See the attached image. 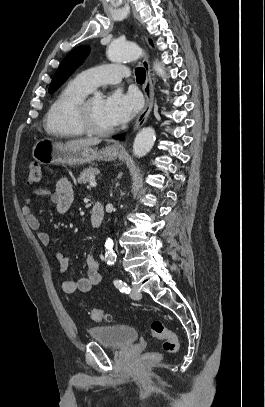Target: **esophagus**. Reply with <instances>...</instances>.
<instances>
[{
  "instance_id": "esophagus-1",
  "label": "esophagus",
  "mask_w": 265,
  "mask_h": 407,
  "mask_svg": "<svg viewBox=\"0 0 265 407\" xmlns=\"http://www.w3.org/2000/svg\"><path fill=\"white\" fill-rule=\"evenodd\" d=\"M143 68L146 73V78H145V83L143 86V92L145 96V106L138 116L134 126H133V132L137 131L139 128H141L146 120L148 119V116L152 110L153 107V101H154V87L152 83V78H151V71H150V63L149 59L147 56L144 57L142 61ZM123 148V143L122 142H117L111 145V149L114 151H119Z\"/></svg>"
}]
</instances>
